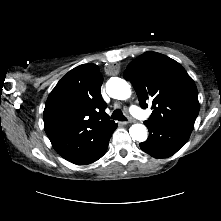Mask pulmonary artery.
<instances>
[{"label": "pulmonary artery", "mask_w": 221, "mask_h": 221, "mask_svg": "<svg viewBox=\"0 0 221 221\" xmlns=\"http://www.w3.org/2000/svg\"><path fill=\"white\" fill-rule=\"evenodd\" d=\"M130 112L140 120H147L149 115L136 105H131Z\"/></svg>", "instance_id": "pulmonary-artery-1"}]
</instances>
